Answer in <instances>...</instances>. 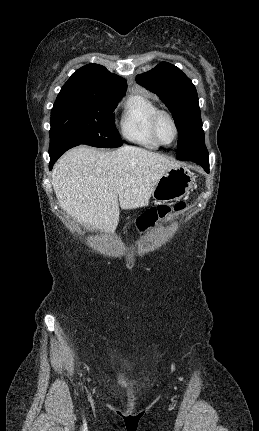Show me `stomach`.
Here are the masks:
<instances>
[{
	"mask_svg": "<svg viewBox=\"0 0 259 431\" xmlns=\"http://www.w3.org/2000/svg\"><path fill=\"white\" fill-rule=\"evenodd\" d=\"M194 184L193 174L181 167H173L165 171L157 182L152 196L157 202H172L181 199Z\"/></svg>",
	"mask_w": 259,
	"mask_h": 431,
	"instance_id": "1",
	"label": "stomach"
}]
</instances>
